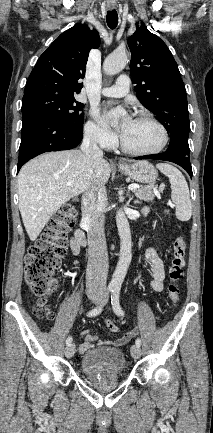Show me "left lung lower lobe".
<instances>
[{
  "label": "left lung lower lobe",
  "instance_id": "obj_1",
  "mask_svg": "<svg viewBox=\"0 0 213 433\" xmlns=\"http://www.w3.org/2000/svg\"><path fill=\"white\" fill-rule=\"evenodd\" d=\"M134 159H156V160L170 161L184 168L188 172L191 178L193 175L190 158H189V149H186L179 145L169 146L168 149L162 154L151 155V156H140V157H135Z\"/></svg>",
  "mask_w": 213,
  "mask_h": 433
}]
</instances>
